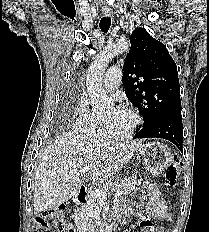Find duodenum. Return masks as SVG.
Segmentation results:
<instances>
[{
	"instance_id": "410a0bca",
	"label": "duodenum",
	"mask_w": 209,
	"mask_h": 232,
	"mask_svg": "<svg viewBox=\"0 0 209 232\" xmlns=\"http://www.w3.org/2000/svg\"><path fill=\"white\" fill-rule=\"evenodd\" d=\"M88 190L85 186H81L77 193L72 197V203L75 206H81L88 200ZM79 232H106V227L100 226L96 229L89 230L87 228H80Z\"/></svg>"
}]
</instances>
